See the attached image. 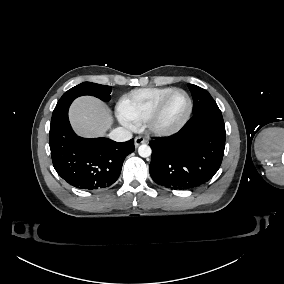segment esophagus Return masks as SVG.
<instances>
[{
    "label": "esophagus",
    "mask_w": 284,
    "mask_h": 284,
    "mask_svg": "<svg viewBox=\"0 0 284 284\" xmlns=\"http://www.w3.org/2000/svg\"><path fill=\"white\" fill-rule=\"evenodd\" d=\"M146 142V138L143 136H137L134 139V145L137 148L140 144H143Z\"/></svg>",
    "instance_id": "1"
}]
</instances>
